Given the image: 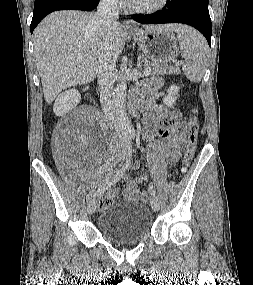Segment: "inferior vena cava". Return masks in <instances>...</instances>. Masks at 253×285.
Instances as JSON below:
<instances>
[{
    "label": "inferior vena cava",
    "mask_w": 253,
    "mask_h": 285,
    "mask_svg": "<svg viewBox=\"0 0 253 285\" xmlns=\"http://www.w3.org/2000/svg\"><path fill=\"white\" fill-rule=\"evenodd\" d=\"M118 18V1L100 0L93 20L95 25L101 27L102 33L107 34L111 26L117 23ZM116 60L117 58L110 52L108 45H105L101 49L97 65L101 107L106 117L113 123H115L113 85L116 75Z\"/></svg>",
    "instance_id": "inferior-vena-cava-1"
}]
</instances>
